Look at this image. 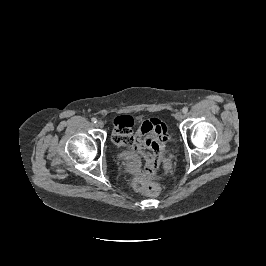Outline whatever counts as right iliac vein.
Masks as SVG:
<instances>
[{
  "mask_svg": "<svg viewBox=\"0 0 266 266\" xmlns=\"http://www.w3.org/2000/svg\"><path fill=\"white\" fill-rule=\"evenodd\" d=\"M97 126L100 127V128H103L104 127V122L103 121H98L97 122Z\"/></svg>",
  "mask_w": 266,
  "mask_h": 266,
  "instance_id": "obj_1",
  "label": "right iliac vein"
}]
</instances>
